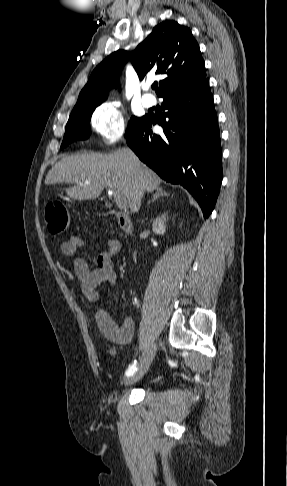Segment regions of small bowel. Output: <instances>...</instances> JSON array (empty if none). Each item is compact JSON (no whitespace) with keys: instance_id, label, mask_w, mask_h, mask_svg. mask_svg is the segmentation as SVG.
<instances>
[{"instance_id":"small-bowel-1","label":"small bowel","mask_w":287,"mask_h":486,"mask_svg":"<svg viewBox=\"0 0 287 486\" xmlns=\"http://www.w3.org/2000/svg\"><path fill=\"white\" fill-rule=\"evenodd\" d=\"M86 246L87 243L82 238L72 235L60 244V251L64 256L75 257L78 250ZM103 246L107 249L98 255L96 268H91L80 257H75L73 261L74 272L81 282L82 293L91 302L99 300L100 284L107 283L113 287L117 282L113 257L120 252L121 243L116 239H109L100 241L91 248L96 250ZM96 321L104 337L116 344H128L134 336V321L130 317L117 322L106 310L101 309L96 314Z\"/></svg>"}]
</instances>
